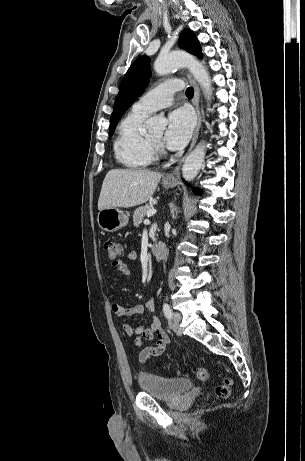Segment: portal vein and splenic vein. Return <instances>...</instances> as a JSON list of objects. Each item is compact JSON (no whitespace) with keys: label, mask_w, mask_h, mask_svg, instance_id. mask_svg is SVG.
<instances>
[{"label":"portal vein and splenic vein","mask_w":305,"mask_h":461,"mask_svg":"<svg viewBox=\"0 0 305 461\" xmlns=\"http://www.w3.org/2000/svg\"><path fill=\"white\" fill-rule=\"evenodd\" d=\"M156 212H157V211H156L155 209H151V210H149V211L147 212V217L149 218V217H151V216L155 215V214H156ZM147 222H149V220H148V219H146V220L144 221V223H147Z\"/></svg>","instance_id":"1"}]
</instances>
